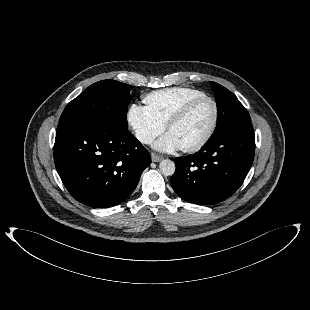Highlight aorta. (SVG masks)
Here are the masks:
<instances>
[{"label": "aorta", "mask_w": 310, "mask_h": 310, "mask_svg": "<svg viewBox=\"0 0 310 310\" xmlns=\"http://www.w3.org/2000/svg\"><path fill=\"white\" fill-rule=\"evenodd\" d=\"M160 171L165 176H171L174 174L176 166L172 160L165 159L160 162Z\"/></svg>", "instance_id": "obj_1"}]
</instances>
